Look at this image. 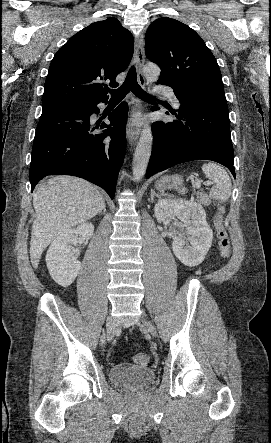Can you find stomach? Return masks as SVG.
<instances>
[{
    "instance_id": "1",
    "label": "stomach",
    "mask_w": 271,
    "mask_h": 443,
    "mask_svg": "<svg viewBox=\"0 0 271 443\" xmlns=\"http://www.w3.org/2000/svg\"><path fill=\"white\" fill-rule=\"evenodd\" d=\"M183 184V178L181 176H166V178H161V180H158L155 184L156 190H159V192H164V190H171V188H179V186H182Z\"/></svg>"
}]
</instances>
